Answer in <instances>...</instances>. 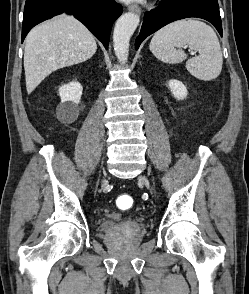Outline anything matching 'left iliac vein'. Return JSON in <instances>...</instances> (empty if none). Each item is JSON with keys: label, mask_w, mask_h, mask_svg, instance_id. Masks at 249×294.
Segmentation results:
<instances>
[{"label": "left iliac vein", "mask_w": 249, "mask_h": 294, "mask_svg": "<svg viewBox=\"0 0 249 294\" xmlns=\"http://www.w3.org/2000/svg\"><path fill=\"white\" fill-rule=\"evenodd\" d=\"M139 180L143 182L147 188H149V181L145 176H140Z\"/></svg>", "instance_id": "left-iliac-vein-1"}]
</instances>
